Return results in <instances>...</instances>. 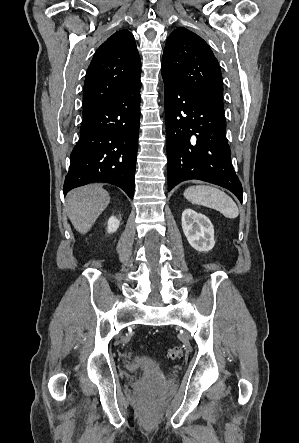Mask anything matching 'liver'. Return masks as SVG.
Wrapping results in <instances>:
<instances>
[{
	"mask_svg": "<svg viewBox=\"0 0 299 443\" xmlns=\"http://www.w3.org/2000/svg\"><path fill=\"white\" fill-rule=\"evenodd\" d=\"M110 203L109 193L100 185L91 184L72 190L66 197L67 215L74 228L87 233Z\"/></svg>",
	"mask_w": 299,
	"mask_h": 443,
	"instance_id": "6515ba94",
	"label": "liver"
}]
</instances>
